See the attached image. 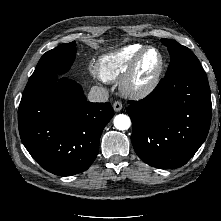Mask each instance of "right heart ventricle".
I'll use <instances>...</instances> for the list:
<instances>
[{
    "label": "right heart ventricle",
    "instance_id": "right-heart-ventricle-1",
    "mask_svg": "<svg viewBox=\"0 0 221 221\" xmlns=\"http://www.w3.org/2000/svg\"><path fill=\"white\" fill-rule=\"evenodd\" d=\"M142 48L140 44H133L102 55L96 62L95 74L106 82L117 80L124 75Z\"/></svg>",
    "mask_w": 221,
    "mask_h": 221
}]
</instances>
